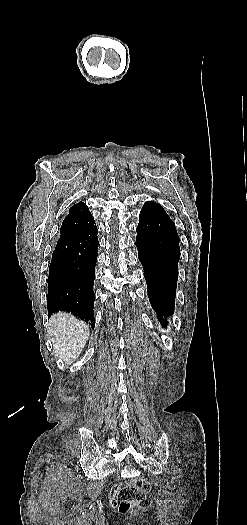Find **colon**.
<instances>
[{"label": "colon", "instance_id": "1", "mask_svg": "<svg viewBox=\"0 0 247 525\" xmlns=\"http://www.w3.org/2000/svg\"><path fill=\"white\" fill-rule=\"evenodd\" d=\"M118 496V508L126 511L132 503H139L142 507L148 505L147 497L150 495L152 486L144 480H134L125 484L124 489H116Z\"/></svg>", "mask_w": 247, "mask_h": 525}]
</instances>
